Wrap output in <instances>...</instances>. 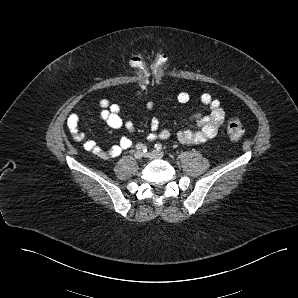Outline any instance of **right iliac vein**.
I'll use <instances>...</instances> for the list:
<instances>
[{
	"instance_id": "obj_1",
	"label": "right iliac vein",
	"mask_w": 298,
	"mask_h": 298,
	"mask_svg": "<svg viewBox=\"0 0 298 298\" xmlns=\"http://www.w3.org/2000/svg\"><path fill=\"white\" fill-rule=\"evenodd\" d=\"M143 156H144V153H143L141 150H138V151H136V152L134 153V157H135L136 159H142Z\"/></svg>"
}]
</instances>
